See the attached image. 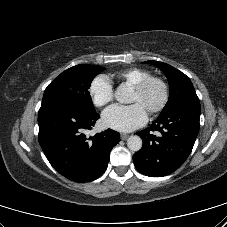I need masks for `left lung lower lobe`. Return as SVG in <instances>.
<instances>
[{"mask_svg":"<svg viewBox=\"0 0 227 227\" xmlns=\"http://www.w3.org/2000/svg\"><path fill=\"white\" fill-rule=\"evenodd\" d=\"M199 118L200 103H186L138 132L143 146L133 155L136 169L150 177L166 176L177 170L192 151Z\"/></svg>","mask_w":227,"mask_h":227,"instance_id":"0a47b994","label":"left lung lower lobe"}]
</instances>
